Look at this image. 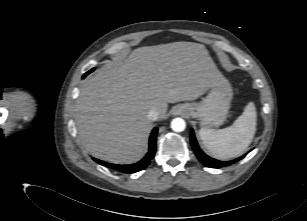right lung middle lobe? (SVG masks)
I'll return each instance as SVG.
<instances>
[{
    "label": "right lung middle lobe",
    "instance_id": "dd1d6c3e",
    "mask_svg": "<svg viewBox=\"0 0 307 221\" xmlns=\"http://www.w3.org/2000/svg\"><path fill=\"white\" fill-rule=\"evenodd\" d=\"M93 70H94V69H92V70H90L89 72H87L86 75L89 74L90 72H92Z\"/></svg>",
    "mask_w": 307,
    "mask_h": 221
}]
</instances>
